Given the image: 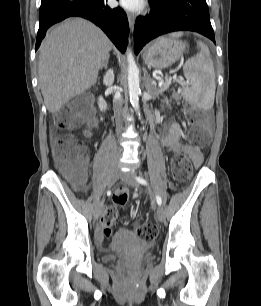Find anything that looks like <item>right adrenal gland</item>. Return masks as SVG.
I'll list each match as a JSON object with an SVG mask.
<instances>
[{
  "label": "right adrenal gland",
  "instance_id": "right-adrenal-gland-1",
  "mask_svg": "<svg viewBox=\"0 0 261 306\" xmlns=\"http://www.w3.org/2000/svg\"><path fill=\"white\" fill-rule=\"evenodd\" d=\"M108 61H109V57H108V59L106 60V62L102 65V67H101L100 69H102V68L107 69Z\"/></svg>",
  "mask_w": 261,
  "mask_h": 306
}]
</instances>
